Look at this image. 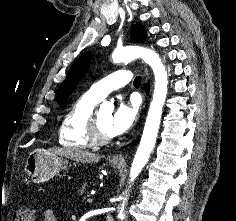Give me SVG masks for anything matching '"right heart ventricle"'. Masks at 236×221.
I'll list each match as a JSON object with an SVG mask.
<instances>
[{
    "label": "right heart ventricle",
    "mask_w": 236,
    "mask_h": 221,
    "mask_svg": "<svg viewBox=\"0 0 236 221\" xmlns=\"http://www.w3.org/2000/svg\"><path fill=\"white\" fill-rule=\"evenodd\" d=\"M99 101L87 93L76 99L64 114L59 130V144L68 149L85 150L93 147L87 136V125L95 105Z\"/></svg>",
    "instance_id": "e07e8e85"
}]
</instances>
